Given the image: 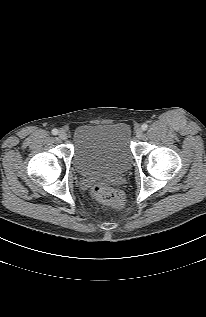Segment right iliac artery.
Segmentation results:
<instances>
[{
    "label": "right iliac artery",
    "mask_w": 206,
    "mask_h": 317,
    "mask_svg": "<svg viewBox=\"0 0 206 317\" xmlns=\"http://www.w3.org/2000/svg\"><path fill=\"white\" fill-rule=\"evenodd\" d=\"M52 134H53V135H57V134H58V130H57V129H53V130H52Z\"/></svg>",
    "instance_id": "obj_1"
}]
</instances>
